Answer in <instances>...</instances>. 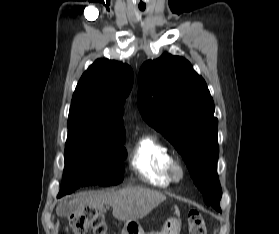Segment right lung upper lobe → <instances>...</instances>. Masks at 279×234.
I'll list each match as a JSON object with an SVG mask.
<instances>
[{"mask_svg":"<svg viewBox=\"0 0 279 234\" xmlns=\"http://www.w3.org/2000/svg\"><path fill=\"white\" fill-rule=\"evenodd\" d=\"M133 80L130 66L96 60L76 86L68 121L84 122L98 135L125 136L122 113Z\"/></svg>","mask_w":279,"mask_h":234,"instance_id":"obj_1","label":"right lung upper lobe"}]
</instances>
